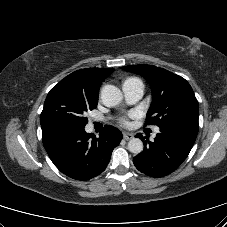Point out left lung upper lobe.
Instances as JSON below:
<instances>
[{
  "instance_id": "1",
  "label": "left lung upper lobe",
  "mask_w": 227,
  "mask_h": 227,
  "mask_svg": "<svg viewBox=\"0 0 227 227\" xmlns=\"http://www.w3.org/2000/svg\"><path fill=\"white\" fill-rule=\"evenodd\" d=\"M121 69L141 75L151 86L152 103L145 125H174L198 129V101L184 78L151 65L124 66Z\"/></svg>"
}]
</instances>
